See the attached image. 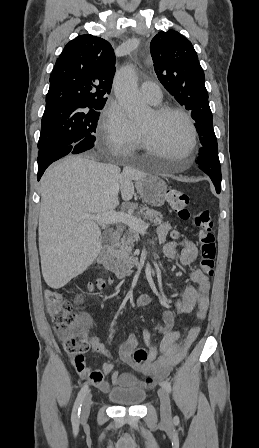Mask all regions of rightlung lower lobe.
I'll return each instance as SVG.
<instances>
[{"instance_id": "1", "label": "right lung lower lobe", "mask_w": 259, "mask_h": 448, "mask_svg": "<svg viewBox=\"0 0 259 448\" xmlns=\"http://www.w3.org/2000/svg\"><path fill=\"white\" fill-rule=\"evenodd\" d=\"M74 147L69 146H58V147H48L39 149L38 152V174L37 178L40 180L45 169L54 161L66 156L67 154H73Z\"/></svg>"}]
</instances>
